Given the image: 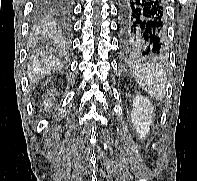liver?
<instances>
[{"label": "liver", "mask_w": 197, "mask_h": 181, "mask_svg": "<svg viewBox=\"0 0 197 181\" xmlns=\"http://www.w3.org/2000/svg\"><path fill=\"white\" fill-rule=\"evenodd\" d=\"M61 67L59 60L52 54L40 53L32 56L31 66L29 68V79L36 82L51 71H57Z\"/></svg>", "instance_id": "liver-1"}]
</instances>
